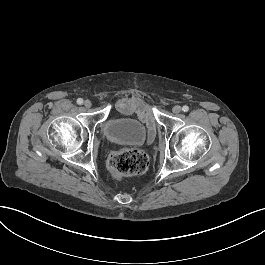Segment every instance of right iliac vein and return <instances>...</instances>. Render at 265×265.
<instances>
[{"mask_svg": "<svg viewBox=\"0 0 265 265\" xmlns=\"http://www.w3.org/2000/svg\"><path fill=\"white\" fill-rule=\"evenodd\" d=\"M91 105H92V103H91L90 100H85V101H84V106H85L86 108H90Z\"/></svg>", "mask_w": 265, "mask_h": 265, "instance_id": "1", "label": "right iliac vein"}]
</instances>
